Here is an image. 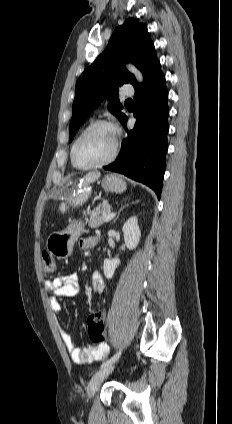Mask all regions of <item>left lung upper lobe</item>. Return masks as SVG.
<instances>
[{
  "instance_id": "1",
  "label": "left lung upper lobe",
  "mask_w": 232,
  "mask_h": 424,
  "mask_svg": "<svg viewBox=\"0 0 232 424\" xmlns=\"http://www.w3.org/2000/svg\"><path fill=\"white\" fill-rule=\"evenodd\" d=\"M132 62L141 70L144 80L159 62L147 27L129 18L117 27L104 52L87 68L76 83L72 119L69 126L70 142L88 115L107 96L108 109L121 121L122 113L118 89L124 83L138 85L135 77L124 67Z\"/></svg>"
}]
</instances>
